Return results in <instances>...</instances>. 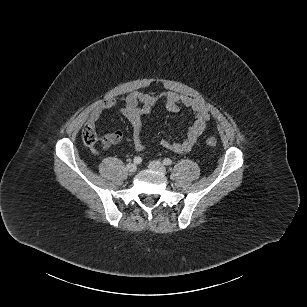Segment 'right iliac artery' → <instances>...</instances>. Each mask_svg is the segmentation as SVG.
I'll use <instances>...</instances> for the list:
<instances>
[{"instance_id":"obj_1","label":"right iliac artery","mask_w":307,"mask_h":307,"mask_svg":"<svg viewBox=\"0 0 307 307\" xmlns=\"http://www.w3.org/2000/svg\"><path fill=\"white\" fill-rule=\"evenodd\" d=\"M141 162H142V158L141 157L138 156V157L134 158V163L135 164H140Z\"/></svg>"}]
</instances>
